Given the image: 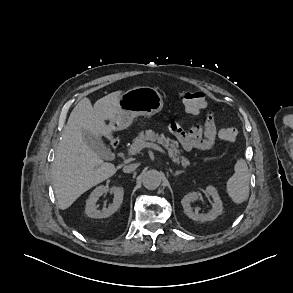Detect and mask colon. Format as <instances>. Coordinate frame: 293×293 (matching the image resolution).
<instances>
[{"label": "colon", "mask_w": 293, "mask_h": 293, "mask_svg": "<svg viewBox=\"0 0 293 293\" xmlns=\"http://www.w3.org/2000/svg\"><path fill=\"white\" fill-rule=\"evenodd\" d=\"M179 99L190 114H199L206 107V99L200 92L183 90L179 94ZM238 133L237 127L227 126L220 131L219 136L225 142H233L236 140Z\"/></svg>", "instance_id": "1"}]
</instances>
